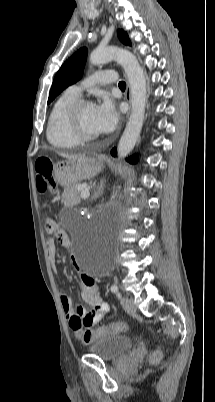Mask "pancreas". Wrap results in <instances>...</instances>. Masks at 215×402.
Returning a JSON list of instances; mask_svg holds the SVG:
<instances>
[{
  "label": "pancreas",
  "mask_w": 215,
  "mask_h": 402,
  "mask_svg": "<svg viewBox=\"0 0 215 402\" xmlns=\"http://www.w3.org/2000/svg\"><path fill=\"white\" fill-rule=\"evenodd\" d=\"M80 186L81 184L78 183L64 190L63 203L65 206H74L80 203Z\"/></svg>",
  "instance_id": "cf45deb5"
}]
</instances>
